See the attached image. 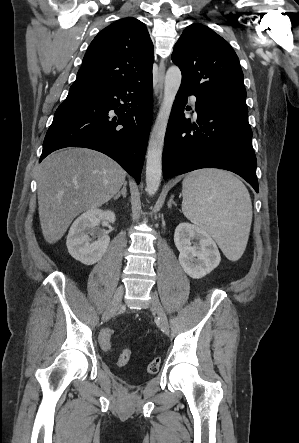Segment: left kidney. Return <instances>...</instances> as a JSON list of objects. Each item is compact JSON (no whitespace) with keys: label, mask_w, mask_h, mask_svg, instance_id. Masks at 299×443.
Wrapping results in <instances>:
<instances>
[{"label":"left kidney","mask_w":299,"mask_h":443,"mask_svg":"<svg viewBox=\"0 0 299 443\" xmlns=\"http://www.w3.org/2000/svg\"><path fill=\"white\" fill-rule=\"evenodd\" d=\"M174 242L180 252L179 263L192 278L204 277L221 261L216 243L199 226L180 223L175 229Z\"/></svg>","instance_id":"obj_1"}]
</instances>
